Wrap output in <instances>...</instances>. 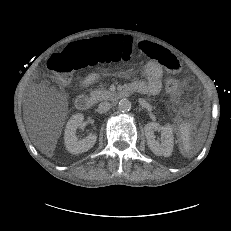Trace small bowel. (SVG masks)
<instances>
[{
  "label": "small bowel",
  "instance_id": "c3829d8e",
  "mask_svg": "<svg viewBox=\"0 0 231 231\" xmlns=\"http://www.w3.org/2000/svg\"><path fill=\"white\" fill-rule=\"evenodd\" d=\"M139 50L150 57L151 60L146 62L141 68L146 79L134 81L130 86L136 92L156 95L162 87L161 78L164 69L177 73L181 69V64L173 54L158 44L142 41L139 44ZM100 78L101 74L99 73L89 74L82 80V85L89 87L98 82Z\"/></svg>",
  "mask_w": 231,
  "mask_h": 231
}]
</instances>
